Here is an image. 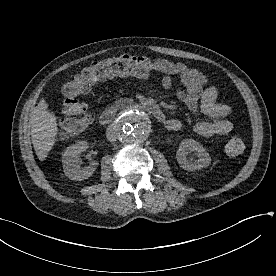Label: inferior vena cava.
I'll use <instances>...</instances> for the list:
<instances>
[{
  "label": "inferior vena cava",
  "instance_id": "inferior-vena-cava-1",
  "mask_svg": "<svg viewBox=\"0 0 276 276\" xmlns=\"http://www.w3.org/2000/svg\"><path fill=\"white\" fill-rule=\"evenodd\" d=\"M106 136L109 141L114 142L118 138V132L115 125H110L106 130Z\"/></svg>",
  "mask_w": 276,
  "mask_h": 276
}]
</instances>
